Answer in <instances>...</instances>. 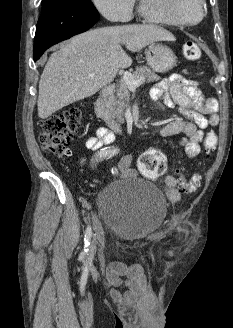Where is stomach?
<instances>
[{
	"mask_svg": "<svg viewBox=\"0 0 233 328\" xmlns=\"http://www.w3.org/2000/svg\"><path fill=\"white\" fill-rule=\"evenodd\" d=\"M147 64L156 72L165 73L177 63L173 51L162 43H151L146 50Z\"/></svg>",
	"mask_w": 233,
	"mask_h": 328,
	"instance_id": "stomach-1",
	"label": "stomach"
}]
</instances>
